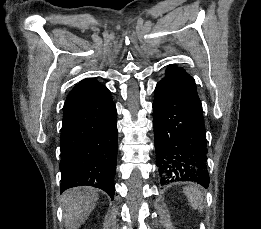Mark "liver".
Wrapping results in <instances>:
<instances>
[{"label":"liver","instance_id":"obj_1","mask_svg":"<svg viewBox=\"0 0 261 229\" xmlns=\"http://www.w3.org/2000/svg\"><path fill=\"white\" fill-rule=\"evenodd\" d=\"M99 199L98 189L76 187L62 195V209L66 229H78L87 221Z\"/></svg>","mask_w":261,"mask_h":229}]
</instances>
